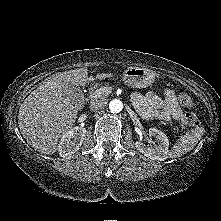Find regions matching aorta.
Wrapping results in <instances>:
<instances>
[{"mask_svg": "<svg viewBox=\"0 0 221 221\" xmlns=\"http://www.w3.org/2000/svg\"><path fill=\"white\" fill-rule=\"evenodd\" d=\"M123 109V103L119 99H113L109 103V110L111 113H119Z\"/></svg>", "mask_w": 221, "mask_h": 221, "instance_id": "obj_1", "label": "aorta"}]
</instances>
